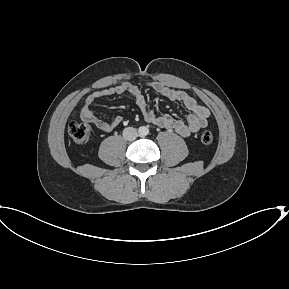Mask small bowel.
<instances>
[{
    "label": "small bowel",
    "instance_id": "c3829d8e",
    "mask_svg": "<svg viewBox=\"0 0 289 289\" xmlns=\"http://www.w3.org/2000/svg\"><path fill=\"white\" fill-rule=\"evenodd\" d=\"M148 86L159 95L168 98L173 102L182 104L190 111L185 121L178 120L170 115L156 114L147 104L146 99L141 91V88L132 82H122L116 86L109 87L103 90H98L87 96L85 104L80 110V116L85 121L93 123L97 128L104 132H111L114 128L123 122L122 116H116L112 121L107 122L97 118L91 106L97 101L107 96L120 95L124 93L130 94L137 107L140 109L145 121L155 124L161 128L173 130L183 137H189L208 124L210 110L199 103L192 95L185 91L167 87L159 82H152Z\"/></svg>",
    "mask_w": 289,
    "mask_h": 289
}]
</instances>
